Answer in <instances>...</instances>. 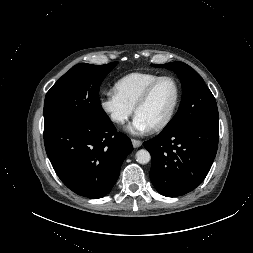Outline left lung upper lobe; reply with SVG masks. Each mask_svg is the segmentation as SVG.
I'll return each mask as SVG.
<instances>
[{
    "label": "left lung upper lobe",
    "instance_id": "1",
    "mask_svg": "<svg viewBox=\"0 0 253 253\" xmlns=\"http://www.w3.org/2000/svg\"><path fill=\"white\" fill-rule=\"evenodd\" d=\"M154 67L174 71L182 84V99L176 115L161 132L173 133L194 125L218 127V109L215 98L202 77L190 66L182 62L152 64Z\"/></svg>",
    "mask_w": 253,
    "mask_h": 253
}]
</instances>
